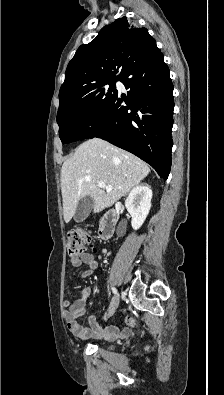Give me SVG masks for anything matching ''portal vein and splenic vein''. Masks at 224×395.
Returning <instances> with one entry per match:
<instances>
[{"label": "portal vein and splenic vein", "mask_w": 224, "mask_h": 395, "mask_svg": "<svg viewBox=\"0 0 224 395\" xmlns=\"http://www.w3.org/2000/svg\"><path fill=\"white\" fill-rule=\"evenodd\" d=\"M98 187L105 188L107 191H111L113 189L112 186H106L103 182H98Z\"/></svg>", "instance_id": "portal-vein-and-splenic-vein-1"}]
</instances>
